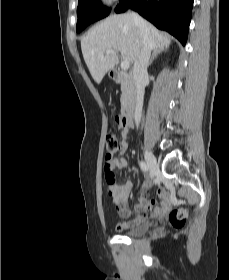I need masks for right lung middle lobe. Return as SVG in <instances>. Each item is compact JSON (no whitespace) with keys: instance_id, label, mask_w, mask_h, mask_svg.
<instances>
[{"instance_id":"1","label":"right lung middle lobe","mask_w":229,"mask_h":280,"mask_svg":"<svg viewBox=\"0 0 229 280\" xmlns=\"http://www.w3.org/2000/svg\"><path fill=\"white\" fill-rule=\"evenodd\" d=\"M110 9L102 6L101 0H79L77 8V32H81L89 24L106 17Z\"/></svg>"}]
</instances>
